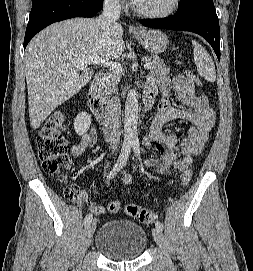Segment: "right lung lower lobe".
I'll use <instances>...</instances> for the list:
<instances>
[{
	"instance_id": "98d812e1",
	"label": "right lung lower lobe",
	"mask_w": 253,
	"mask_h": 271,
	"mask_svg": "<svg viewBox=\"0 0 253 271\" xmlns=\"http://www.w3.org/2000/svg\"><path fill=\"white\" fill-rule=\"evenodd\" d=\"M103 0H52L32 7L24 38V48L32 37L46 26L73 17H92Z\"/></svg>"
}]
</instances>
